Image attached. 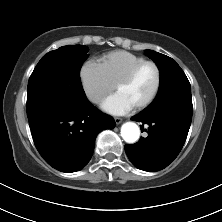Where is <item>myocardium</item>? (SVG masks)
Here are the masks:
<instances>
[{
    "label": "myocardium",
    "instance_id": "f54148a6",
    "mask_svg": "<svg viewBox=\"0 0 222 222\" xmlns=\"http://www.w3.org/2000/svg\"><path fill=\"white\" fill-rule=\"evenodd\" d=\"M146 65H151L153 66V68L156 71V75H157V79H156V85L154 87L153 92L151 93V95L141 104L137 105L136 107H134V109L136 111H141L144 110L145 108L149 107L154 100L156 99V97L159 94L160 88H161V84H162V73L161 70L159 68V66L154 62V61H150V60H144L138 64H136L134 67H132L116 84H115V89H118L121 86L127 85L128 83H130L134 77L136 76V74Z\"/></svg>",
    "mask_w": 222,
    "mask_h": 222
}]
</instances>
